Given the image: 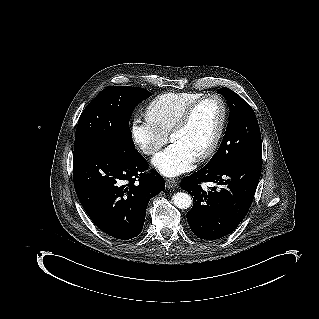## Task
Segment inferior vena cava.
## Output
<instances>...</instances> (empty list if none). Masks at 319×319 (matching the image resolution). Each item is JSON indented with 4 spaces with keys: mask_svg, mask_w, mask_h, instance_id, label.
<instances>
[{
    "mask_svg": "<svg viewBox=\"0 0 319 319\" xmlns=\"http://www.w3.org/2000/svg\"><path fill=\"white\" fill-rule=\"evenodd\" d=\"M155 149L152 147V146H148V145H146L145 147H144V153L145 154H150V153H152L153 151H154Z\"/></svg>",
    "mask_w": 319,
    "mask_h": 319,
    "instance_id": "inferior-vena-cava-1",
    "label": "inferior vena cava"
}]
</instances>
